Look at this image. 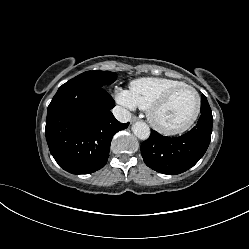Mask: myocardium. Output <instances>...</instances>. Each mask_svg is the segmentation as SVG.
Returning a JSON list of instances; mask_svg holds the SVG:
<instances>
[{
  "label": "myocardium",
  "instance_id": "myocardium-1",
  "mask_svg": "<svg viewBox=\"0 0 249 249\" xmlns=\"http://www.w3.org/2000/svg\"><path fill=\"white\" fill-rule=\"evenodd\" d=\"M182 89H189L191 90L195 96H196V107L195 110L191 116V118L182 126L177 128H166L162 126L157 120H156V112L161 109L163 106H165L169 100L172 98V96ZM201 110V97L198 91L189 84H182L175 86L171 89H169L167 92H165L160 98H158L156 101H154L147 109V117L150 122V124L159 132L165 134V135H178L181 133L186 132L189 130L193 124L196 122Z\"/></svg>",
  "mask_w": 249,
  "mask_h": 249
}]
</instances>
